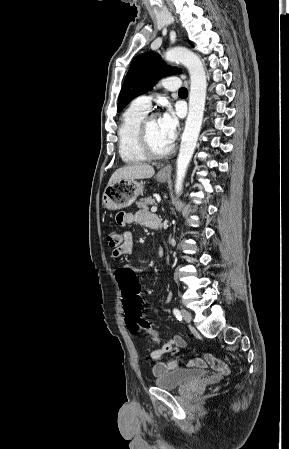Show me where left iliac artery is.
Returning a JSON list of instances; mask_svg holds the SVG:
<instances>
[{
  "instance_id": "left-iliac-artery-1",
  "label": "left iliac artery",
  "mask_w": 289,
  "mask_h": 449,
  "mask_svg": "<svg viewBox=\"0 0 289 449\" xmlns=\"http://www.w3.org/2000/svg\"><path fill=\"white\" fill-rule=\"evenodd\" d=\"M173 314L175 315V317H176L179 321L182 320V315H181L180 311H179L177 308H174V309H173Z\"/></svg>"
}]
</instances>
